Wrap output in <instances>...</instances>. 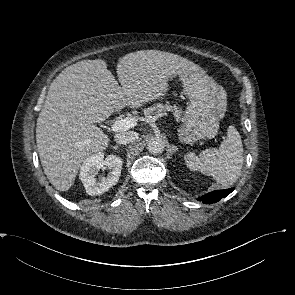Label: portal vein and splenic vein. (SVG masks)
<instances>
[{"label": "portal vein and splenic vein", "instance_id": "portal-vein-and-splenic-vein-1", "mask_svg": "<svg viewBox=\"0 0 295 295\" xmlns=\"http://www.w3.org/2000/svg\"><path fill=\"white\" fill-rule=\"evenodd\" d=\"M137 122L134 118H124L121 120L115 121L112 125L110 130L113 132L125 131L134 126H136Z\"/></svg>", "mask_w": 295, "mask_h": 295}]
</instances>
